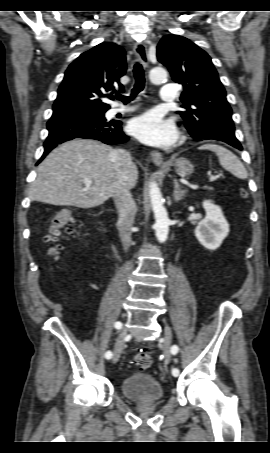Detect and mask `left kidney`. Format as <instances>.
I'll return each mask as SVG.
<instances>
[{"label":"left kidney","instance_id":"obj_1","mask_svg":"<svg viewBox=\"0 0 270 453\" xmlns=\"http://www.w3.org/2000/svg\"><path fill=\"white\" fill-rule=\"evenodd\" d=\"M203 208L206 217L195 228L197 240L209 250L218 249L229 233V224L225 219L221 208L211 200H205Z\"/></svg>","mask_w":270,"mask_h":453}]
</instances>
